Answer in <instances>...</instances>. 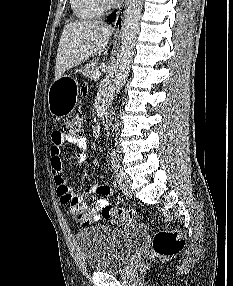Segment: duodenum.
Returning a JSON list of instances; mask_svg holds the SVG:
<instances>
[{
  "instance_id": "410a0bca",
  "label": "duodenum",
  "mask_w": 233,
  "mask_h": 286,
  "mask_svg": "<svg viewBox=\"0 0 233 286\" xmlns=\"http://www.w3.org/2000/svg\"><path fill=\"white\" fill-rule=\"evenodd\" d=\"M108 117H109L108 107L104 106L100 110V121H101L102 125H106L107 124Z\"/></svg>"
}]
</instances>
